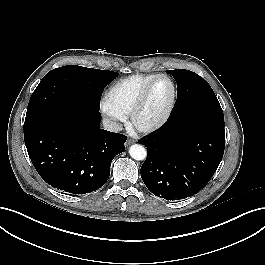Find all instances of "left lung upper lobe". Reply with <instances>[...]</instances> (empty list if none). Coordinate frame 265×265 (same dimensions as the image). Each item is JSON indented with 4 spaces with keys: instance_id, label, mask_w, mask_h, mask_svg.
I'll use <instances>...</instances> for the list:
<instances>
[{
    "instance_id": "1",
    "label": "left lung upper lobe",
    "mask_w": 265,
    "mask_h": 265,
    "mask_svg": "<svg viewBox=\"0 0 265 265\" xmlns=\"http://www.w3.org/2000/svg\"><path fill=\"white\" fill-rule=\"evenodd\" d=\"M167 73L177 82V100L168 121L200 119L224 126L223 111L207 81L185 69Z\"/></svg>"
}]
</instances>
